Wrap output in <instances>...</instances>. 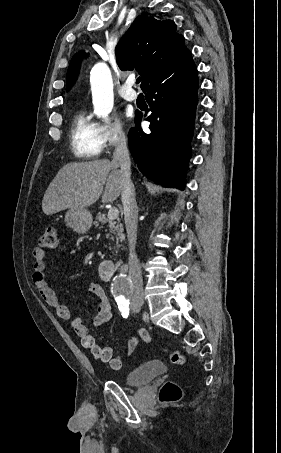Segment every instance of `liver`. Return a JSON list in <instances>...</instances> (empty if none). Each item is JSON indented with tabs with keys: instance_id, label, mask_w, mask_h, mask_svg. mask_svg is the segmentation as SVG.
Segmentation results:
<instances>
[{
	"instance_id": "1",
	"label": "liver",
	"mask_w": 281,
	"mask_h": 453,
	"mask_svg": "<svg viewBox=\"0 0 281 453\" xmlns=\"http://www.w3.org/2000/svg\"><path fill=\"white\" fill-rule=\"evenodd\" d=\"M121 190L122 176L117 162L108 158L68 162L50 182L43 196L42 210L44 214H55L65 208H85L101 194L102 202H112Z\"/></svg>"
}]
</instances>
